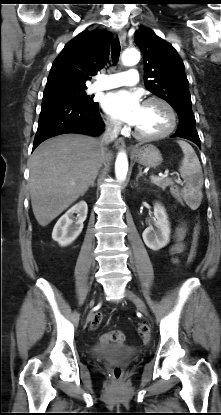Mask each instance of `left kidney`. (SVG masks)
Wrapping results in <instances>:
<instances>
[{
	"label": "left kidney",
	"mask_w": 221,
	"mask_h": 415,
	"mask_svg": "<svg viewBox=\"0 0 221 415\" xmlns=\"http://www.w3.org/2000/svg\"><path fill=\"white\" fill-rule=\"evenodd\" d=\"M155 222L142 233L146 246L154 251L165 247L170 241V225L165 209L160 204L154 205Z\"/></svg>",
	"instance_id": "1"
}]
</instances>
